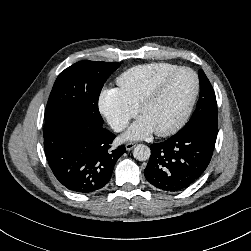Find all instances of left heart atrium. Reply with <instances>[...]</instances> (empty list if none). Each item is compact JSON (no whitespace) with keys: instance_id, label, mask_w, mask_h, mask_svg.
I'll use <instances>...</instances> for the list:
<instances>
[{"instance_id":"obj_1","label":"left heart atrium","mask_w":251,"mask_h":251,"mask_svg":"<svg viewBox=\"0 0 251 251\" xmlns=\"http://www.w3.org/2000/svg\"><path fill=\"white\" fill-rule=\"evenodd\" d=\"M152 126L143 117L140 116L129 128L127 133L124 135L125 139L138 140L149 136L153 132Z\"/></svg>"}]
</instances>
